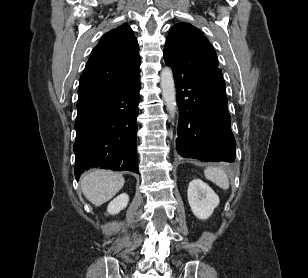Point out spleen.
<instances>
[{"label": "spleen", "instance_id": "obj_1", "mask_svg": "<svg viewBox=\"0 0 308 278\" xmlns=\"http://www.w3.org/2000/svg\"><path fill=\"white\" fill-rule=\"evenodd\" d=\"M205 177L215 183L220 188L227 190L229 188V179L226 172L220 167H207L204 170Z\"/></svg>", "mask_w": 308, "mask_h": 278}]
</instances>
